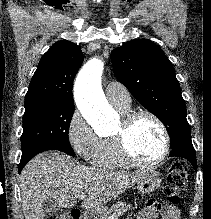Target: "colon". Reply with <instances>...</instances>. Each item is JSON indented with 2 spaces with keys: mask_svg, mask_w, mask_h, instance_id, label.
Listing matches in <instances>:
<instances>
[{
  "mask_svg": "<svg viewBox=\"0 0 211 219\" xmlns=\"http://www.w3.org/2000/svg\"><path fill=\"white\" fill-rule=\"evenodd\" d=\"M188 168L183 161H175L168 170L167 184L164 188L165 196L170 204L179 203L182 190L186 183ZM47 219H81V213L78 210H72L67 214L50 216Z\"/></svg>",
  "mask_w": 211,
  "mask_h": 219,
  "instance_id": "1",
  "label": "colon"
}]
</instances>
